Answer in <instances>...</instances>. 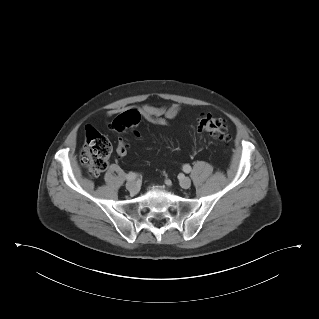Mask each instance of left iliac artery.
I'll return each instance as SVG.
<instances>
[{
    "label": "left iliac artery",
    "instance_id": "left-iliac-artery-1",
    "mask_svg": "<svg viewBox=\"0 0 319 319\" xmlns=\"http://www.w3.org/2000/svg\"><path fill=\"white\" fill-rule=\"evenodd\" d=\"M183 170H184V172L189 173V172H191V166L186 164L183 166Z\"/></svg>",
    "mask_w": 319,
    "mask_h": 319
}]
</instances>
